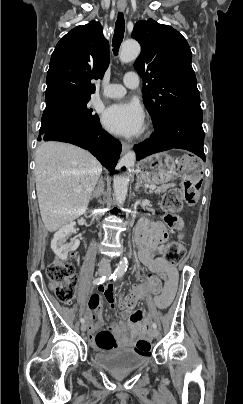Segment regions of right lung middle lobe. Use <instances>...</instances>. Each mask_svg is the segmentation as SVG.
<instances>
[{
  "label": "right lung middle lobe",
  "instance_id": "right-lung-middle-lobe-1",
  "mask_svg": "<svg viewBox=\"0 0 243 404\" xmlns=\"http://www.w3.org/2000/svg\"><path fill=\"white\" fill-rule=\"evenodd\" d=\"M89 100L90 97H74L46 103L38 140L40 141L41 136L55 124L64 120L99 123L98 115L93 113L92 108L87 107Z\"/></svg>",
  "mask_w": 243,
  "mask_h": 404
}]
</instances>
